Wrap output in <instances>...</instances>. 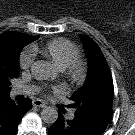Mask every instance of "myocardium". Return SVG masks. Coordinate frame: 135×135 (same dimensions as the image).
Listing matches in <instances>:
<instances>
[{
  "label": "myocardium",
  "mask_w": 135,
  "mask_h": 135,
  "mask_svg": "<svg viewBox=\"0 0 135 135\" xmlns=\"http://www.w3.org/2000/svg\"><path fill=\"white\" fill-rule=\"evenodd\" d=\"M64 74L73 84L82 85L87 80L88 67L84 61L77 59L64 69Z\"/></svg>",
  "instance_id": "myocardium-1"
}]
</instances>
